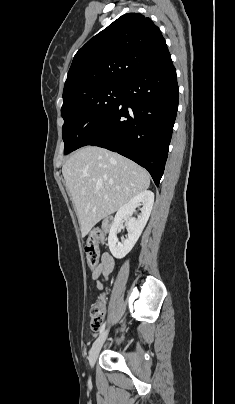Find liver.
Segmentation results:
<instances>
[{"label":"liver","instance_id":"1","mask_svg":"<svg viewBox=\"0 0 235 404\" xmlns=\"http://www.w3.org/2000/svg\"><path fill=\"white\" fill-rule=\"evenodd\" d=\"M82 236L150 185L149 173L135 162L104 148L86 146L63 165Z\"/></svg>","mask_w":235,"mask_h":404}]
</instances>
